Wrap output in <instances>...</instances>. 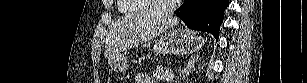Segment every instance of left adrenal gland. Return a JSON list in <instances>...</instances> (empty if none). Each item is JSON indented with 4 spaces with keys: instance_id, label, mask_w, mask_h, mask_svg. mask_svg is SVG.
Here are the masks:
<instances>
[{
    "instance_id": "obj_1",
    "label": "left adrenal gland",
    "mask_w": 307,
    "mask_h": 83,
    "mask_svg": "<svg viewBox=\"0 0 307 83\" xmlns=\"http://www.w3.org/2000/svg\"><path fill=\"white\" fill-rule=\"evenodd\" d=\"M198 56L197 57H193L191 60H189L186 68H184L182 74H183V78H186L193 70H195V62H198Z\"/></svg>"
}]
</instances>
